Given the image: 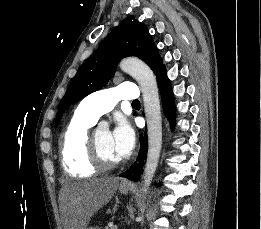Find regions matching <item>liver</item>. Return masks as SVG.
<instances>
[{
    "mask_svg": "<svg viewBox=\"0 0 261 229\" xmlns=\"http://www.w3.org/2000/svg\"><path fill=\"white\" fill-rule=\"evenodd\" d=\"M120 177H100L67 185L64 219L67 229H86L90 217L114 197Z\"/></svg>",
    "mask_w": 261,
    "mask_h": 229,
    "instance_id": "liver-1",
    "label": "liver"
}]
</instances>
